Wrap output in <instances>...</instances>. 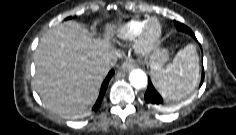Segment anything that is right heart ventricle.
Masks as SVG:
<instances>
[{
  "mask_svg": "<svg viewBox=\"0 0 236 135\" xmlns=\"http://www.w3.org/2000/svg\"><path fill=\"white\" fill-rule=\"evenodd\" d=\"M145 19L129 20L115 30V38L120 42H132L136 40L140 34Z\"/></svg>",
  "mask_w": 236,
  "mask_h": 135,
  "instance_id": "e07e8e85",
  "label": "right heart ventricle"
}]
</instances>
